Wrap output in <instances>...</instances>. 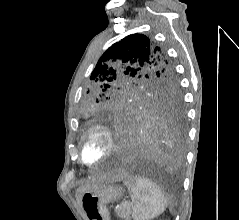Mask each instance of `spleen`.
Listing matches in <instances>:
<instances>
[{"label": "spleen", "mask_w": 239, "mask_h": 220, "mask_svg": "<svg viewBox=\"0 0 239 220\" xmlns=\"http://www.w3.org/2000/svg\"><path fill=\"white\" fill-rule=\"evenodd\" d=\"M132 202L134 220H151L161 215L167 205L161 189L144 177H131L125 181Z\"/></svg>", "instance_id": "obj_1"}]
</instances>
